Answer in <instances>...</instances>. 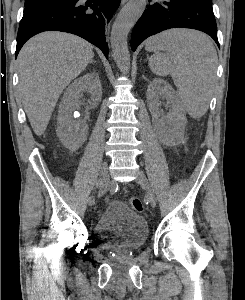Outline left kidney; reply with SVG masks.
<instances>
[{"instance_id":"left-kidney-1","label":"left kidney","mask_w":245,"mask_h":300,"mask_svg":"<svg viewBox=\"0 0 245 300\" xmlns=\"http://www.w3.org/2000/svg\"><path fill=\"white\" fill-rule=\"evenodd\" d=\"M160 99L170 107L168 115L161 110ZM149 110L155 119L160 139L167 145L177 144L184 136L187 123L184 106L172 87L163 79H154L147 89Z\"/></svg>"}]
</instances>
